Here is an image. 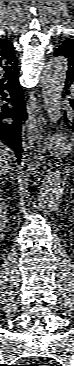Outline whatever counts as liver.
<instances>
[{
  "instance_id": "obj_1",
  "label": "liver",
  "mask_w": 74,
  "mask_h": 366,
  "mask_svg": "<svg viewBox=\"0 0 74 366\" xmlns=\"http://www.w3.org/2000/svg\"><path fill=\"white\" fill-rule=\"evenodd\" d=\"M13 151L5 144H0V172L4 173L10 168V162L14 158Z\"/></svg>"
}]
</instances>
